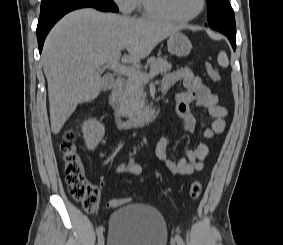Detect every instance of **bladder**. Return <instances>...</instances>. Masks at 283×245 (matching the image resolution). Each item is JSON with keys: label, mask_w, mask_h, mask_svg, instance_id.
Returning a JSON list of instances; mask_svg holds the SVG:
<instances>
[{"label": "bladder", "mask_w": 283, "mask_h": 245, "mask_svg": "<svg viewBox=\"0 0 283 245\" xmlns=\"http://www.w3.org/2000/svg\"><path fill=\"white\" fill-rule=\"evenodd\" d=\"M168 231L156 208L143 203H127L110 216L107 245H166Z\"/></svg>", "instance_id": "bladder-1"}]
</instances>
